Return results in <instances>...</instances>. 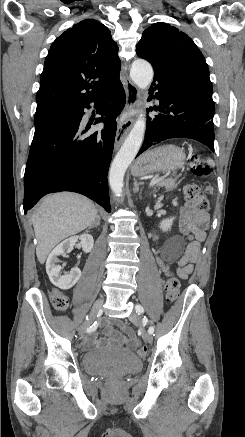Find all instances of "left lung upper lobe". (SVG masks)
I'll return each mask as SVG.
<instances>
[{
	"label": "left lung upper lobe",
	"mask_w": 245,
	"mask_h": 437,
	"mask_svg": "<svg viewBox=\"0 0 245 437\" xmlns=\"http://www.w3.org/2000/svg\"><path fill=\"white\" fill-rule=\"evenodd\" d=\"M139 57L151 63L154 74L192 86L212 96L205 58L193 40L168 24L145 29L136 46Z\"/></svg>",
	"instance_id": "1"
}]
</instances>
